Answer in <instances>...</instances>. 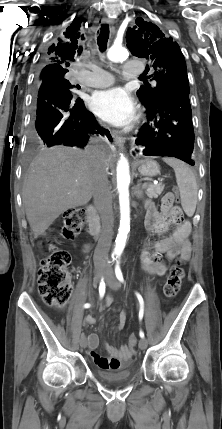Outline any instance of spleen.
I'll list each match as a JSON object with an SVG mask.
<instances>
[{
    "mask_svg": "<svg viewBox=\"0 0 222 429\" xmlns=\"http://www.w3.org/2000/svg\"><path fill=\"white\" fill-rule=\"evenodd\" d=\"M164 162L171 166L175 172L176 182L179 188L181 205L187 216L194 215L197 204L198 186L196 178L189 166L175 158H163Z\"/></svg>",
    "mask_w": 222,
    "mask_h": 429,
    "instance_id": "obj_1",
    "label": "spleen"
}]
</instances>
